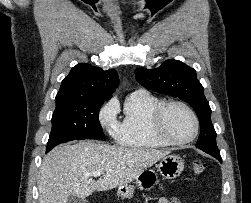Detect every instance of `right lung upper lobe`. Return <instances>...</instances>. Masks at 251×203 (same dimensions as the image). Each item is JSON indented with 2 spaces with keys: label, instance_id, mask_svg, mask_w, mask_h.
<instances>
[{
  "label": "right lung upper lobe",
  "instance_id": "1",
  "mask_svg": "<svg viewBox=\"0 0 251 203\" xmlns=\"http://www.w3.org/2000/svg\"><path fill=\"white\" fill-rule=\"evenodd\" d=\"M118 84L116 70L104 71L86 63L78 64L62 81L56 95V106L76 101L109 100Z\"/></svg>",
  "mask_w": 251,
  "mask_h": 203
}]
</instances>
